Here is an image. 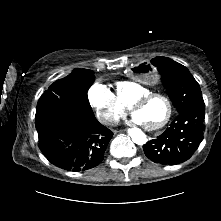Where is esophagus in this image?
<instances>
[{
  "mask_svg": "<svg viewBox=\"0 0 221 221\" xmlns=\"http://www.w3.org/2000/svg\"><path fill=\"white\" fill-rule=\"evenodd\" d=\"M115 134L117 132H119L120 134H124L126 131L124 129H120L119 131H117L116 129L113 131Z\"/></svg>",
  "mask_w": 221,
  "mask_h": 221,
  "instance_id": "obj_1",
  "label": "esophagus"
}]
</instances>
